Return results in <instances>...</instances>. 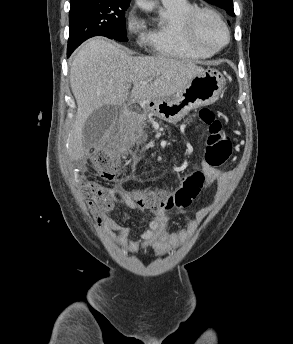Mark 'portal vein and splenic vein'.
I'll return each mask as SVG.
<instances>
[{"label":"portal vein and splenic vein","mask_w":293,"mask_h":344,"mask_svg":"<svg viewBox=\"0 0 293 344\" xmlns=\"http://www.w3.org/2000/svg\"><path fill=\"white\" fill-rule=\"evenodd\" d=\"M141 84H147L148 83V81H142V82H140Z\"/></svg>","instance_id":"obj_1"}]
</instances>
